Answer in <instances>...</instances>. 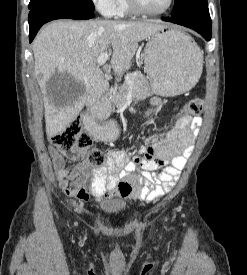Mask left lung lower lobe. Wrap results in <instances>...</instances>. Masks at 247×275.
<instances>
[{
	"instance_id": "1",
	"label": "left lung lower lobe",
	"mask_w": 247,
	"mask_h": 275,
	"mask_svg": "<svg viewBox=\"0 0 247 275\" xmlns=\"http://www.w3.org/2000/svg\"><path fill=\"white\" fill-rule=\"evenodd\" d=\"M164 20L191 28L198 32L207 41L211 39L212 26L209 12L195 13L179 18L171 17Z\"/></svg>"
}]
</instances>
